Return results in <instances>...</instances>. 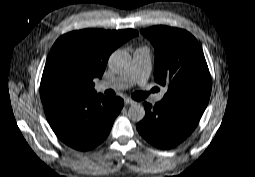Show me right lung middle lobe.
I'll list each match as a JSON object with an SVG mask.
<instances>
[{
	"label": "right lung middle lobe",
	"mask_w": 255,
	"mask_h": 177,
	"mask_svg": "<svg viewBox=\"0 0 255 177\" xmlns=\"http://www.w3.org/2000/svg\"><path fill=\"white\" fill-rule=\"evenodd\" d=\"M40 94L43 103L79 97L78 80L71 75H60L49 82Z\"/></svg>",
	"instance_id": "obj_1"
}]
</instances>
